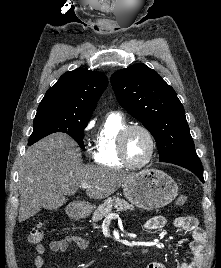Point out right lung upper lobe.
<instances>
[{
    "instance_id": "obj_1",
    "label": "right lung upper lobe",
    "mask_w": 221,
    "mask_h": 268,
    "mask_svg": "<svg viewBox=\"0 0 221 268\" xmlns=\"http://www.w3.org/2000/svg\"><path fill=\"white\" fill-rule=\"evenodd\" d=\"M107 85L108 79L101 72L83 68L68 71L47 90L37 111H60L90 118Z\"/></svg>"
}]
</instances>
